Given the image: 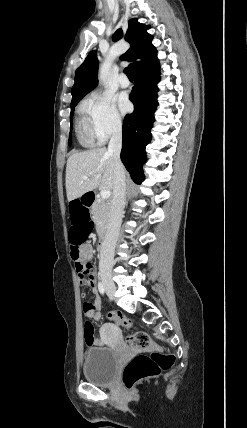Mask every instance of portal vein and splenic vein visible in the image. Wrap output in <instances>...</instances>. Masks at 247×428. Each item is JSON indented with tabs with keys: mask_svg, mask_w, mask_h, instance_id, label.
<instances>
[{
	"mask_svg": "<svg viewBox=\"0 0 247 428\" xmlns=\"http://www.w3.org/2000/svg\"><path fill=\"white\" fill-rule=\"evenodd\" d=\"M83 179H88V176H83ZM100 195L102 199H107L110 197L111 192L109 190H101Z\"/></svg>",
	"mask_w": 247,
	"mask_h": 428,
	"instance_id": "1",
	"label": "portal vein and splenic vein"
}]
</instances>
